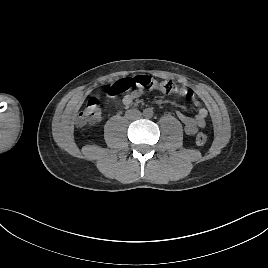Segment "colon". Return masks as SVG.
Wrapping results in <instances>:
<instances>
[{"mask_svg":"<svg viewBox=\"0 0 268 268\" xmlns=\"http://www.w3.org/2000/svg\"><path fill=\"white\" fill-rule=\"evenodd\" d=\"M140 88L143 90L158 89L166 94H179L186 97H191L192 94L187 90L181 88L174 81L162 80L159 81L150 75H136L133 77H126L113 83L108 94L111 97H116L129 90ZM102 111L100 100L97 97H91L85 108L78 116V123L83 126H93L101 119ZM208 137L204 133L197 134L195 141L198 145H203L207 142Z\"/></svg>","mask_w":268,"mask_h":268,"instance_id":"5ec220e1","label":"colon"}]
</instances>
